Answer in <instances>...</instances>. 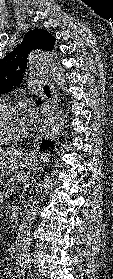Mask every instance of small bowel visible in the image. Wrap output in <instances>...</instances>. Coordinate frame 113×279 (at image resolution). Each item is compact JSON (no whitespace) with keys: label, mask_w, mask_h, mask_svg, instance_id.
<instances>
[{"label":"small bowel","mask_w":113,"mask_h":279,"mask_svg":"<svg viewBox=\"0 0 113 279\" xmlns=\"http://www.w3.org/2000/svg\"><path fill=\"white\" fill-rule=\"evenodd\" d=\"M0 197L2 198V195H1V194H0ZM5 274H6V276H9L10 278L13 279V276L11 275V270H10V269H6V270H5Z\"/></svg>","instance_id":"obj_1"}]
</instances>
